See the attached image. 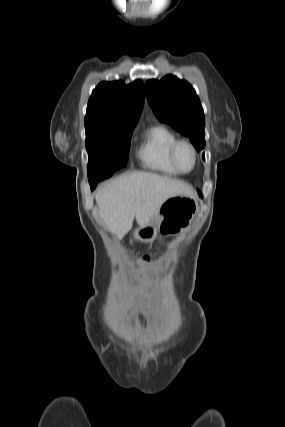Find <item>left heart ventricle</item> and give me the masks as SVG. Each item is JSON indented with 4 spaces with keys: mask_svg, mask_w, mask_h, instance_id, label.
Listing matches in <instances>:
<instances>
[{
    "mask_svg": "<svg viewBox=\"0 0 285 427\" xmlns=\"http://www.w3.org/2000/svg\"><path fill=\"white\" fill-rule=\"evenodd\" d=\"M177 162L184 171H189L194 164V156L191 148L187 145L179 146L177 150Z\"/></svg>",
    "mask_w": 285,
    "mask_h": 427,
    "instance_id": "1",
    "label": "left heart ventricle"
}]
</instances>
